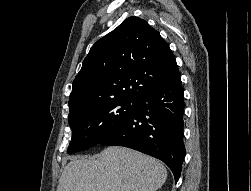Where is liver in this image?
Here are the masks:
<instances>
[{"instance_id": "6515ba94", "label": "liver", "mask_w": 251, "mask_h": 191, "mask_svg": "<svg viewBox=\"0 0 251 191\" xmlns=\"http://www.w3.org/2000/svg\"><path fill=\"white\" fill-rule=\"evenodd\" d=\"M166 177V167L155 157L111 145L97 159L79 155L69 161L57 191H156Z\"/></svg>"}]
</instances>
